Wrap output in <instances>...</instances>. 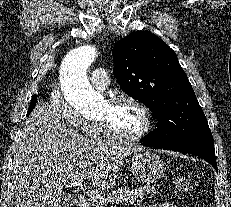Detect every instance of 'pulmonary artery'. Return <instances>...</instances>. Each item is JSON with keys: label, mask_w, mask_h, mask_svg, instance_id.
<instances>
[{"label": "pulmonary artery", "mask_w": 231, "mask_h": 207, "mask_svg": "<svg viewBox=\"0 0 231 207\" xmlns=\"http://www.w3.org/2000/svg\"><path fill=\"white\" fill-rule=\"evenodd\" d=\"M90 81L95 88L103 90L109 85V74L106 69L97 67L90 73Z\"/></svg>", "instance_id": "obj_1"}]
</instances>
